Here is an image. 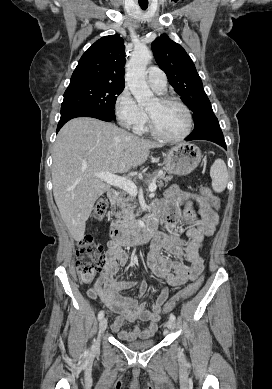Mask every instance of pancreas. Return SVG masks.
Here are the masks:
<instances>
[{
    "mask_svg": "<svg viewBox=\"0 0 272 389\" xmlns=\"http://www.w3.org/2000/svg\"><path fill=\"white\" fill-rule=\"evenodd\" d=\"M158 179L157 183L159 187H163L164 184H167L171 179L169 176L165 175V172L160 171L157 173L156 178ZM150 181H148L149 183ZM132 198L127 195V193L122 192L119 194L117 199L111 203V208L116 210V208H120L119 211H114L112 215L116 218V223H119L121 227H128L134 223V208L130 202Z\"/></svg>",
    "mask_w": 272,
    "mask_h": 389,
    "instance_id": "1",
    "label": "pancreas"
}]
</instances>
